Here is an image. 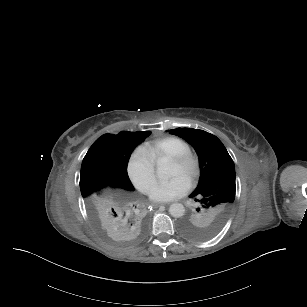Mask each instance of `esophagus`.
Returning a JSON list of instances; mask_svg holds the SVG:
<instances>
[{
  "mask_svg": "<svg viewBox=\"0 0 307 307\" xmlns=\"http://www.w3.org/2000/svg\"><path fill=\"white\" fill-rule=\"evenodd\" d=\"M151 205H152L154 208H158V207L161 206V204H159V203H152Z\"/></svg>",
  "mask_w": 307,
  "mask_h": 307,
  "instance_id": "34e87169",
  "label": "esophagus"
}]
</instances>
